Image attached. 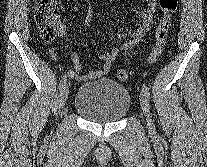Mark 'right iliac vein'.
I'll return each instance as SVG.
<instances>
[{"label": "right iliac vein", "mask_w": 207, "mask_h": 167, "mask_svg": "<svg viewBox=\"0 0 207 167\" xmlns=\"http://www.w3.org/2000/svg\"><path fill=\"white\" fill-rule=\"evenodd\" d=\"M68 94H69V87H68V85H65L64 88L61 90L60 95H59V99H58L59 110L61 108H63V106L65 105L66 100L68 98Z\"/></svg>", "instance_id": "1"}]
</instances>
